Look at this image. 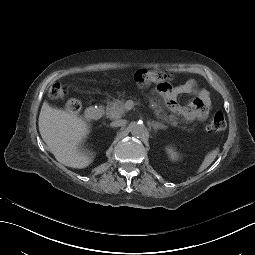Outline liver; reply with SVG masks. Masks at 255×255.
Here are the masks:
<instances>
[{
	"instance_id": "1",
	"label": "liver",
	"mask_w": 255,
	"mask_h": 255,
	"mask_svg": "<svg viewBox=\"0 0 255 255\" xmlns=\"http://www.w3.org/2000/svg\"><path fill=\"white\" fill-rule=\"evenodd\" d=\"M38 126L44 143L60 164L85 169L93 163L88 154L80 151L83 140L90 133L84 119L72 112L52 108L44 102Z\"/></svg>"
}]
</instances>
